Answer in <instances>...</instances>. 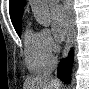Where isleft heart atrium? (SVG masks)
I'll use <instances>...</instances> for the list:
<instances>
[{
    "label": "left heart atrium",
    "instance_id": "1",
    "mask_svg": "<svg viewBox=\"0 0 89 89\" xmlns=\"http://www.w3.org/2000/svg\"><path fill=\"white\" fill-rule=\"evenodd\" d=\"M52 30L57 40H62L68 29V17L63 7L55 6L50 13Z\"/></svg>",
    "mask_w": 89,
    "mask_h": 89
}]
</instances>
